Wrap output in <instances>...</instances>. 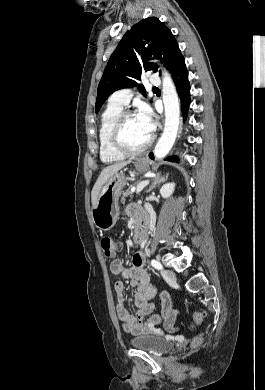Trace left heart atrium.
Listing matches in <instances>:
<instances>
[{"label": "left heart atrium", "mask_w": 265, "mask_h": 390, "mask_svg": "<svg viewBox=\"0 0 265 390\" xmlns=\"http://www.w3.org/2000/svg\"><path fill=\"white\" fill-rule=\"evenodd\" d=\"M136 118L145 134L150 137L155 130V121L151 109L143 105L136 114Z\"/></svg>", "instance_id": "1"}]
</instances>
